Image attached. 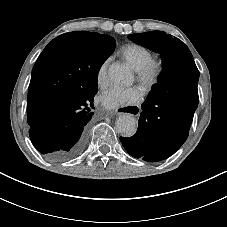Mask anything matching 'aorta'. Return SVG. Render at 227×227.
Returning a JSON list of instances; mask_svg holds the SVG:
<instances>
[{
    "instance_id": "obj_1",
    "label": "aorta",
    "mask_w": 227,
    "mask_h": 227,
    "mask_svg": "<svg viewBox=\"0 0 227 227\" xmlns=\"http://www.w3.org/2000/svg\"><path fill=\"white\" fill-rule=\"evenodd\" d=\"M109 78L117 84H130L133 76L128 66L121 63H113L109 67ZM117 131L124 137H131L137 131V120L132 114H122L116 121Z\"/></svg>"
}]
</instances>
